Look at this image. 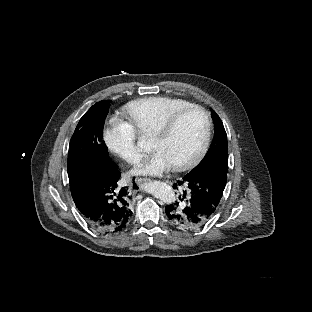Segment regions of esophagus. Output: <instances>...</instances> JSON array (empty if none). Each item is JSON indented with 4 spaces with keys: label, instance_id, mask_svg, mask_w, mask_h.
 Wrapping results in <instances>:
<instances>
[{
    "label": "esophagus",
    "instance_id": "obj_1",
    "mask_svg": "<svg viewBox=\"0 0 312 312\" xmlns=\"http://www.w3.org/2000/svg\"><path fill=\"white\" fill-rule=\"evenodd\" d=\"M150 179L148 177H137L136 178V183L137 184H141V183H145L148 182Z\"/></svg>",
    "mask_w": 312,
    "mask_h": 312
}]
</instances>
